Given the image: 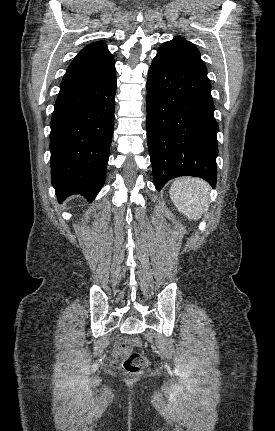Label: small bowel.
<instances>
[{
  "instance_id": "1",
  "label": "small bowel",
  "mask_w": 275,
  "mask_h": 431,
  "mask_svg": "<svg viewBox=\"0 0 275 431\" xmlns=\"http://www.w3.org/2000/svg\"><path fill=\"white\" fill-rule=\"evenodd\" d=\"M129 347L125 345V340L118 341L112 352V357L115 362H120V360L128 353Z\"/></svg>"
}]
</instances>
